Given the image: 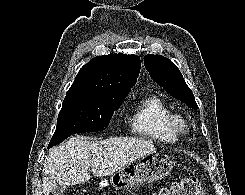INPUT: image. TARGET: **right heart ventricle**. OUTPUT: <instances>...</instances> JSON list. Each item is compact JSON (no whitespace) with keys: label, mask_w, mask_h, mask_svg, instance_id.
<instances>
[{"label":"right heart ventricle","mask_w":245,"mask_h":195,"mask_svg":"<svg viewBox=\"0 0 245 195\" xmlns=\"http://www.w3.org/2000/svg\"><path fill=\"white\" fill-rule=\"evenodd\" d=\"M172 114L166 103L157 96L140 98L130 109L128 129L130 133L142 138L170 143L176 140L166 125Z\"/></svg>","instance_id":"obj_1"}]
</instances>
